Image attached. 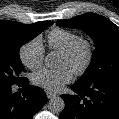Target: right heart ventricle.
I'll use <instances>...</instances> for the list:
<instances>
[{
  "instance_id": "obj_1",
  "label": "right heart ventricle",
  "mask_w": 119,
  "mask_h": 119,
  "mask_svg": "<svg viewBox=\"0 0 119 119\" xmlns=\"http://www.w3.org/2000/svg\"><path fill=\"white\" fill-rule=\"evenodd\" d=\"M80 35L74 31L55 28L47 35V43L50 50L62 52L70 47Z\"/></svg>"
}]
</instances>
